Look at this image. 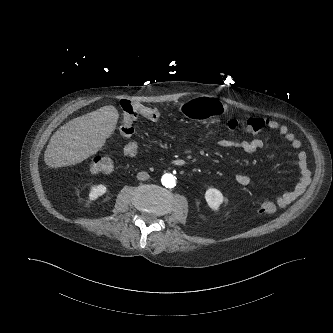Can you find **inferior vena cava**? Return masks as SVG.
<instances>
[{
  "label": "inferior vena cava",
  "mask_w": 333,
  "mask_h": 333,
  "mask_svg": "<svg viewBox=\"0 0 333 333\" xmlns=\"http://www.w3.org/2000/svg\"><path fill=\"white\" fill-rule=\"evenodd\" d=\"M137 178L138 180H142V181H145V180H148L150 178L149 174L145 171H140L138 174H137Z\"/></svg>",
  "instance_id": "602c4592"
}]
</instances>
